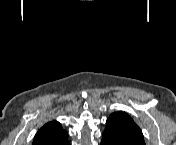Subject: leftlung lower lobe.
Listing matches in <instances>:
<instances>
[{"label": "left lung lower lobe", "mask_w": 176, "mask_h": 145, "mask_svg": "<svg viewBox=\"0 0 176 145\" xmlns=\"http://www.w3.org/2000/svg\"><path fill=\"white\" fill-rule=\"evenodd\" d=\"M101 145H117V144H115L114 142H112L106 136L102 135Z\"/></svg>", "instance_id": "1"}]
</instances>
